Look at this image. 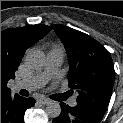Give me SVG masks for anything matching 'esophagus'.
I'll return each instance as SVG.
<instances>
[{
  "label": "esophagus",
  "mask_w": 123,
  "mask_h": 123,
  "mask_svg": "<svg viewBox=\"0 0 123 123\" xmlns=\"http://www.w3.org/2000/svg\"><path fill=\"white\" fill-rule=\"evenodd\" d=\"M41 104H43V105H46V104H49L51 101L49 100V99H47V98H40L39 100H38Z\"/></svg>",
  "instance_id": "34e87169"
}]
</instances>
